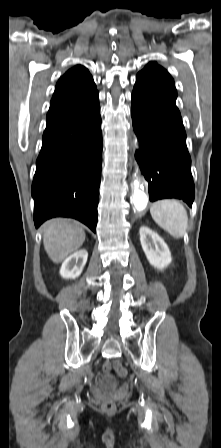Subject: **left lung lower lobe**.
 I'll list each match as a JSON object with an SVG mask.
<instances>
[{
	"label": "left lung lower lobe",
	"mask_w": 221,
	"mask_h": 448,
	"mask_svg": "<svg viewBox=\"0 0 221 448\" xmlns=\"http://www.w3.org/2000/svg\"><path fill=\"white\" fill-rule=\"evenodd\" d=\"M131 115L140 142L135 158L149 183L150 201L178 198L191 207L195 193L191 158L178 108L134 87Z\"/></svg>",
	"instance_id": "left-lung-lower-lobe-1"
}]
</instances>
